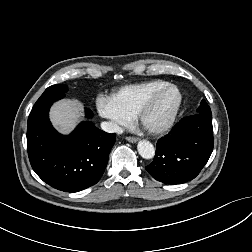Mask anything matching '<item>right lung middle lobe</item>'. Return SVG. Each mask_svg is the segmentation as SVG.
<instances>
[{
    "label": "right lung middle lobe",
    "instance_id": "obj_1",
    "mask_svg": "<svg viewBox=\"0 0 252 252\" xmlns=\"http://www.w3.org/2000/svg\"><path fill=\"white\" fill-rule=\"evenodd\" d=\"M67 92L65 85H52L48 87L33 106L31 113H36L42 108L51 105L53 102L63 98Z\"/></svg>",
    "mask_w": 252,
    "mask_h": 252
}]
</instances>
